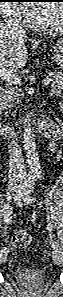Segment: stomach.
Returning <instances> with one entry per match:
<instances>
[{
    "label": "stomach",
    "instance_id": "1",
    "mask_svg": "<svg viewBox=\"0 0 63 297\" xmlns=\"http://www.w3.org/2000/svg\"><path fill=\"white\" fill-rule=\"evenodd\" d=\"M52 54L57 65L63 66V44L60 41L53 46Z\"/></svg>",
    "mask_w": 63,
    "mask_h": 297
}]
</instances>
